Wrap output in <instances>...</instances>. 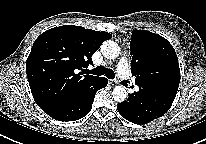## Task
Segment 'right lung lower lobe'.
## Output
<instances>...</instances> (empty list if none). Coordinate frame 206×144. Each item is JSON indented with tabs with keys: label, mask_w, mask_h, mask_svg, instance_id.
<instances>
[{
	"label": "right lung lower lobe",
	"mask_w": 206,
	"mask_h": 144,
	"mask_svg": "<svg viewBox=\"0 0 206 144\" xmlns=\"http://www.w3.org/2000/svg\"><path fill=\"white\" fill-rule=\"evenodd\" d=\"M107 83L108 80L105 77H98L78 95L46 111V113L59 121L81 119L91 111L97 90L106 87Z\"/></svg>",
	"instance_id": "1"
}]
</instances>
